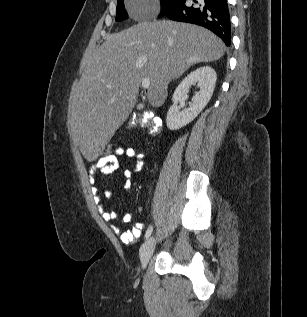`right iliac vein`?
Masks as SVG:
<instances>
[{
	"label": "right iliac vein",
	"mask_w": 307,
	"mask_h": 317,
	"mask_svg": "<svg viewBox=\"0 0 307 317\" xmlns=\"http://www.w3.org/2000/svg\"><path fill=\"white\" fill-rule=\"evenodd\" d=\"M154 249L155 239L154 237H150L146 240V242L142 245L140 249V261L143 269L147 266L151 256L153 255Z\"/></svg>",
	"instance_id": "1"
}]
</instances>
